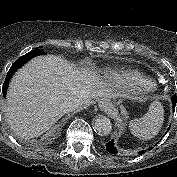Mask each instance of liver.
<instances>
[{"mask_svg": "<svg viewBox=\"0 0 177 177\" xmlns=\"http://www.w3.org/2000/svg\"><path fill=\"white\" fill-rule=\"evenodd\" d=\"M119 96L107 83L86 69H78L55 56L30 60L13 76L6 100L5 117L22 138H34L48 131L62 116L60 104L77 98L88 106L93 98Z\"/></svg>", "mask_w": 177, "mask_h": 177, "instance_id": "liver-1", "label": "liver"}]
</instances>
